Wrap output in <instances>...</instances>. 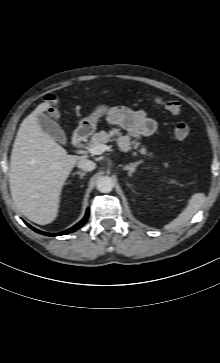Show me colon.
Here are the masks:
<instances>
[{
	"label": "colon",
	"instance_id": "obj_1",
	"mask_svg": "<svg viewBox=\"0 0 220 363\" xmlns=\"http://www.w3.org/2000/svg\"><path fill=\"white\" fill-rule=\"evenodd\" d=\"M56 99V95L51 94L47 96L46 111L53 116L55 115V110L52 105ZM156 102L172 115H177L181 112V103L177 100H165L157 97ZM190 132V127L184 122H179L174 127V134L181 141L186 140L190 136Z\"/></svg>",
	"mask_w": 220,
	"mask_h": 363
}]
</instances>
